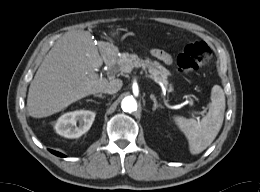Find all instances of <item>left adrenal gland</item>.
<instances>
[{
  "label": "left adrenal gland",
  "mask_w": 260,
  "mask_h": 192,
  "mask_svg": "<svg viewBox=\"0 0 260 192\" xmlns=\"http://www.w3.org/2000/svg\"><path fill=\"white\" fill-rule=\"evenodd\" d=\"M150 98L154 102V105H153V108H152L153 111H155L159 107L162 108V106L158 104V102H157V100H156V98L153 94L150 95Z\"/></svg>",
  "instance_id": "a2214340"
}]
</instances>
